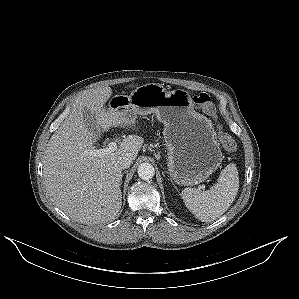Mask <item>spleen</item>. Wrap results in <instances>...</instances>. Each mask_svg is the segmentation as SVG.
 <instances>
[{"instance_id":"spleen-1","label":"spleen","mask_w":299,"mask_h":299,"mask_svg":"<svg viewBox=\"0 0 299 299\" xmlns=\"http://www.w3.org/2000/svg\"><path fill=\"white\" fill-rule=\"evenodd\" d=\"M239 189L236 165L231 163L221 172L218 183L208 191L185 188L181 197L186 207L202 222L213 221L225 213L233 203Z\"/></svg>"}]
</instances>
